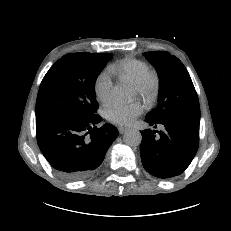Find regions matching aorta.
Masks as SVG:
<instances>
[{
	"mask_svg": "<svg viewBox=\"0 0 231 231\" xmlns=\"http://www.w3.org/2000/svg\"><path fill=\"white\" fill-rule=\"evenodd\" d=\"M113 95L119 100H127L129 97V91L124 86H116L113 89ZM124 143L130 147H136L140 145L142 141V135L137 129H128L123 136Z\"/></svg>",
	"mask_w": 231,
	"mask_h": 231,
	"instance_id": "aorta-1",
	"label": "aorta"
}]
</instances>
